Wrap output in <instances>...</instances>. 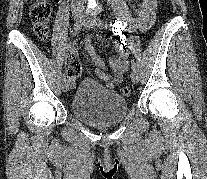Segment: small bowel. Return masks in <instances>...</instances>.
I'll list each match as a JSON object with an SVG mask.
<instances>
[{"label": "small bowel", "instance_id": "1", "mask_svg": "<svg viewBox=\"0 0 207 179\" xmlns=\"http://www.w3.org/2000/svg\"><path fill=\"white\" fill-rule=\"evenodd\" d=\"M156 6L157 0H141L138 4H133L136 13L135 24L138 29L146 31L153 25ZM132 41H134V38H132ZM84 47L96 66V77L105 83L107 89L113 90L117 85L122 83L123 76L129 68V62L125 57L126 50L124 44H115V48L120 52V55L111 57L109 60L114 70L113 76L105 72V62L97 53L89 37L84 39ZM73 51L74 49L71 47L70 52ZM69 83L71 86H74V79L71 78Z\"/></svg>", "mask_w": 207, "mask_h": 179}]
</instances>
